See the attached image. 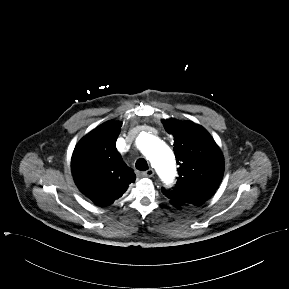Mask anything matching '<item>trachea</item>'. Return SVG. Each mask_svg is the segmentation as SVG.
I'll use <instances>...</instances> for the list:
<instances>
[{
    "label": "trachea",
    "mask_w": 289,
    "mask_h": 289,
    "mask_svg": "<svg viewBox=\"0 0 289 289\" xmlns=\"http://www.w3.org/2000/svg\"><path fill=\"white\" fill-rule=\"evenodd\" d=\"M135 166L140 171H146L148 169L147 161L143 158L138 159Z\"/></svg>",
    "instance_id": "1"
}]
</instances>
